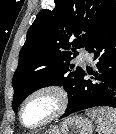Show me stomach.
I'll use <instances>...</instances> for the list:
<instances>
[{
	"instance_id": "stomach-1",
	"label": "stomach",
	"mask_w": 116,
	"mask_h": 134,
	"mask_svg": "<svg viewBox=\"0 0 116 134\" xmlns=\"http://www.w3.org/2000/svg\"><path fill=\"white\" fill-rule=\"evenodd\" d=\"M92 122L83 116H72L54 125L45 134H92Z\"/></svg>"
}]
</instances>
